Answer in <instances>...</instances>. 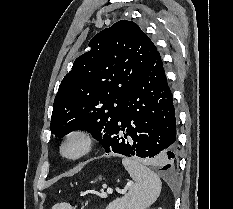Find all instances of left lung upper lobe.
<instances>
[{
    "mask_svg": "<svg viewBox=\"0 0 233 209\" xmlns=\"http://www.w3.org/2000/svg\"><path fill=\"white\" fill-rule=\"evenodd\" d=\"M54 99L50 128L56 137L85 130L101 141L125 109L136 80L158 52L140 27L120 20L95 35Z\"/></svg>",
    "mask_w": 233,
    "mask_h": 209,
    "instance_id": "5c2ea615",
    "label": "left lung upper lobe"
}]
</instances>
